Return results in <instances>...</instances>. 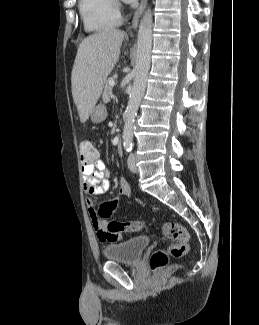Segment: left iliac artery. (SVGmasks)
Here are the masks:
<instances>
[{
	"label": "left iliac artery",
	"instance_id": "1",
	"mask_svg": "<svg viewBox=\"0 0 259 325\" xmlns=\"http://www.w3.org/2000/svg\"><path fill=\"white\" fill-rule=\"evenodd\" d=\"M124 147H125V149H126L127 152H131V150H132V142L130 140H127L124 143Z\"/></svg>",
	"mask_w": 259,
	"mask_h": 325
}]
</instances>
